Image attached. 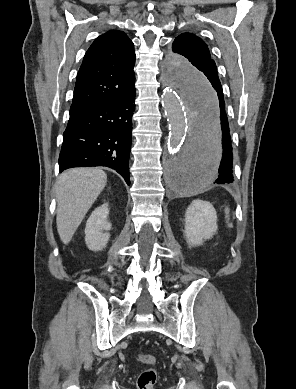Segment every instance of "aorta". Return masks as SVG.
<instances>
[{
  "mask_svg": "<svg viewBox=\"0 0 296 389\" xmlns=\"http://www.w3.org/2000/svg\"><path fill=\"white\" fill-rule=\"evenodd\" d=\"M162 76L169 124L167 188L195 194L209 189L221 160L218 91H213V81H205L203 72L178 55L167 56Z\"/></svg>",
  "mask_w": 296,
  "mask_h": 389,
  "instance_id": "aorta-1",
  "label": "aorta"
}]
</instances>
